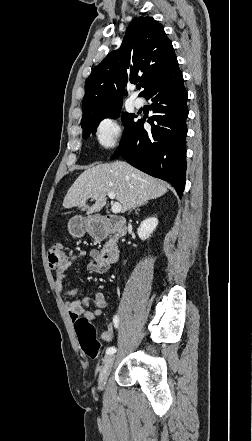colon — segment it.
Here are the masks:
<instances>
[{
  "instance_id": "colon-1",
  "label": "colon",
  "mask_w": 252,
  "mask_h": 441,
  "mask_svg": "<svg viewBox=\"0 0 252 441\" xmlns=\"http://www.w3.org/2000/svg\"><path fill=\"white\" fill-rule=\"evenodd\" d=\"M66 259V251L61 243L53 244L49 248L48 261L52 269L58 268ZM74 327L84 354L92 359L97 358L100 354V343L96 339L94 325L86 318H78Z\"/></svg>"
}]
</instances>
